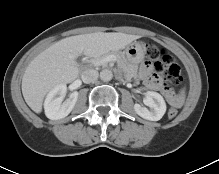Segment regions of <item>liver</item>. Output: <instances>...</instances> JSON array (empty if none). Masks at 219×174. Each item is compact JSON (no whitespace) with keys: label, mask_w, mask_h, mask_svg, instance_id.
I'll return each mask as SVG.
<instances>
[{"label":"liver","mask_w":219,"mask_h":174,"mask_svg":"<svg viewBox=\"0 0 219 174\" xmlns=\"http://www.w3.org/2000/svg\"><path fill=\"white\" fill-rule=\"evenodd\" d=\"M140 38L125 33L96 32L64 38L37 55L22 78V94L27 105L41 113L46 94L54 87L73 82L79 75L76 59L80 55L101 56L124 49Z\"/></svg>","instance_id":"6515ba94"}]
</instances>
